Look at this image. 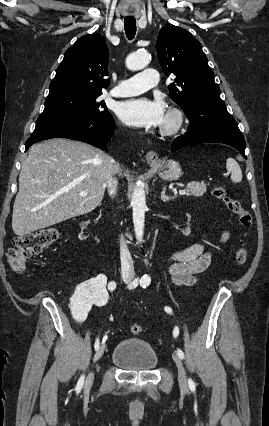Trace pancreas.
I'll use <instances>...</instances> for the list:
<instances>
[{"instance_id":"cf45deb5","label":"pancreas","mask_w":269,"mask_h":426,"mask_svg":"<svg viewBox=\"0 0 269 426\" xmlns=\"http://www.w3.org/2000/svg\"><path fill=\"white\" fill-rule=\"evenodd\" d=\"M185 191L187 196L200 197L206 192V185L200 182H190Z\"/></svg>"}]
</instances>
